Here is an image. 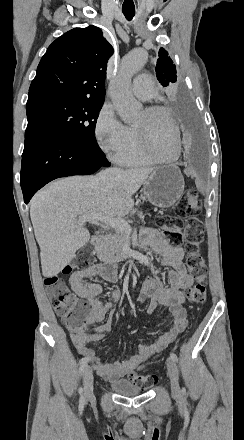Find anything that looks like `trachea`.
I'll return each instance as SVG.
<instances>
[{
    "label": "trachea",
    "mask_w": 244,
    "mask_h": 440,
    "mask_svg": "<svg viewBox=\"0 0 244 440\" xmlns=\"http://www.w3.org/2000/svg\"><path fill=\"white\" fill-rule=\"evenodd\" d=\"M122 12L128 21H130L135 15V9L122 8Z\"/></svg>",
    "instance_id": "1"
}]
</instances>
